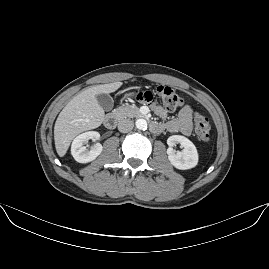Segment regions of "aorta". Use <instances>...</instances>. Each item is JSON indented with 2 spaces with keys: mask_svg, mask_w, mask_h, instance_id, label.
I'll list each match as a JSON object with an SVG mask.
<instances>
[{
  "mask_svg": "<svg viewBox=\"0 0 269 269\" xmlns=\"http://www.w3.org/2000/svg\"><path fill=\"white\" fill-rule=\"evenodd\" d=\"M135 125H136V127H137L138 129H141V130L147 128V122H146V120L143 119V118H139V119H137V120L135 121Z\"/></svg>",
  "mask_w": 269,
  "mask_h": 269,
  "instance_id": "aorta-1",
  "label": "aorta"
}]
</instances>
